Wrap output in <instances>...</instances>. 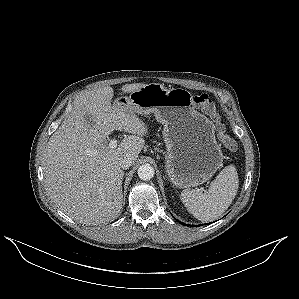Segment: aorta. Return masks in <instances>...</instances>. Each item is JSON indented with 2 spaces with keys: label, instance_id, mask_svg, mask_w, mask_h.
Instances as JSON below:
<instances>
[{
  "label": "aorta",
  "instance_id": "1",
  "mask_svg": "<svg viewBox=\"0 0 299 299\" xmlns=\"http://www.w3.org/2000/svg\"><path fill=\"white\" fill-rule=\"evenodd\" d=\"M137 173L141 180L147 181L154 177L155 170L150 164L146 163L139 166Z\"/></svg>",
  "mask_w": 299,
  "mask_h": 299
}]
</instances>
